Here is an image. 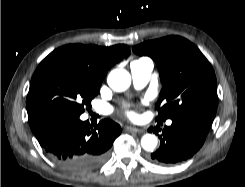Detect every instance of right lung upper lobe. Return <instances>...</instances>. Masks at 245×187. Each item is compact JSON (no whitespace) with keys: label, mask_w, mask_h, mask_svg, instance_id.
<instances>
[{"label":"right lung upper lobe","mask_w":245,"mask_h":187,"mask_svg":"<svg viewBox=\"0 0 245 187\" xmlns=\"http://www.w3.org/2000/svg\"><path fill=\"white\" fill-rule=\"evenodd\" d=\"M56 50L78 58L89 69L93 78L99 81L104 79L111 66L130 54L129 47L124 44L111 47L74 44Z\"/></svg>","instance_id":"obj_1"}]
</instances>
